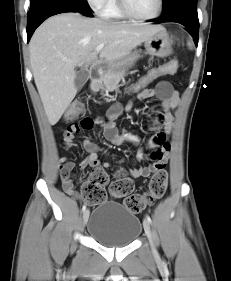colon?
<instances>
[{"label":"colon","mask_w":231,"mask_h":281,"mask_svg":"<svg viewBox=\"0 0 231 281\" xmlns=\"http://www.w3.org/2000/svg\"><path fill=\"white\" fill-rule=\"evenodd\" d=\"M178 61L169 62L150 69L146 74L125 87L127 94H139L148 89V86L157 78L175 74L178 70ZM82 104L74 102L67 110V117L73 118L82 111ZM108 183L107 174L100 168H96L90 178L83 184L82 197L92 205L99 204L107 198L105 186ZM168 185V174L165 170L156 171L150 179L147 190L142 194H130L134 189L133 181L124 174L119 173L109 187V194L113 198H123L124 205L133 213L141 212L147 206L160 199Z\"/></svg>","instance_id":"obj_1"}]
</instances>
